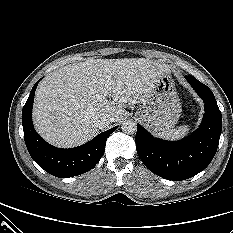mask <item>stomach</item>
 <instances>
[{
    "mask_svg": "<svg viewBox=\"0 0 233 233\" xmlns=\"http://www.w3.org/2000/svg\"><path fill=\"white\" fill-rule=\"evenodd\" d=\"M182 109L175 84L169 73L162 74L154 85L151 97L136 112L154 133L172 129Z\"/></svg>",
    "mask_w": 233,
    "mask_h": 233,
    "instance_id": "obj_1",
    "label": "stomach"
}]
</instances>
